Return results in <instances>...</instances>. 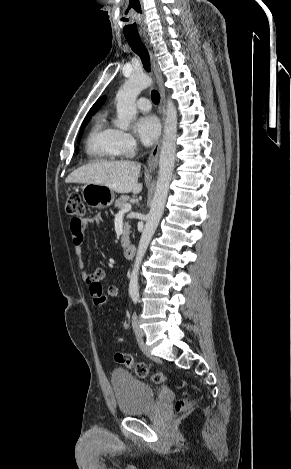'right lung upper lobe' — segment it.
<instances>
[{
  "mask_svg": "<svg viewBox=\"0 0 291 469\" xmlns=\"http://www.w3.org/2000/svg\"><path fill=\"white\" fill-rule=\"evenodd\" d=\"M105 101V97L99 98L96 103L92 106L87 116H91ZM86 116V117H87Z\"/></svg>",
  "mask_w": 291,
  "mask_h": 469,
  "instance_id": "cb5924a9",
  "label": "right lung upper lobe"
}]
</instances>
